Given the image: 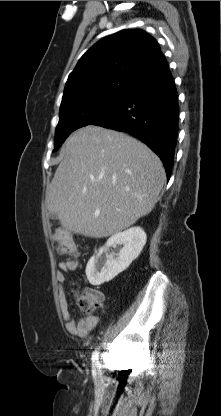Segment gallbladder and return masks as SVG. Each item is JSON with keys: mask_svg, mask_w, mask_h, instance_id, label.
<instances>
[{"mask_svg": "<svg viewBox=\"0 0 221 416\" xmlns=\"http://www.w3.org/2000/svg\"><path fill=\"white\" fill-rule=\"evenodd\" d=\"M49 217H50V219H52V220H56L58 217H57V214H55V213H50L49 214Z\"/></svg>", "mask_w": 221, "mask_h": 416, "instance_id": "obj_1", "label": "gallbladder"}]
</instances>
